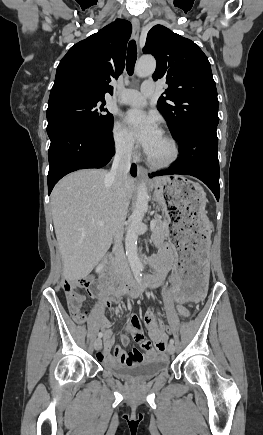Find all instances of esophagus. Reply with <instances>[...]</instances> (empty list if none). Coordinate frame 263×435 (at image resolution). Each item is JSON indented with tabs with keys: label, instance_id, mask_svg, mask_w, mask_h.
<instances>
[{
	"label": "esophagus",
	"instance_id": "34e87169",
	"mask_svg": "<svg viewBox=\"0 0 263 435\" xmlns=\"http://www.w3.org/2000/svg\"><path fill=\"white\" fill-rule=\"evenodd\" d=\"M132 27H133V35L136 41H138L139 33H140V22L138 19H132ZM137 175L139 178L147 177V170L143 166L137 167Z\"/></svg>",
	"mask_w": 263,
	"mask_h": 435
}]
</instances>
